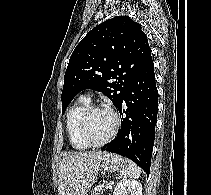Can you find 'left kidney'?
<instances>
[{
  "label": "left kidney",
  "instance_id": "1",
  "mask_svg": "<svg viewBox=\"0 0 211 195\" xmlns=\"http://www.w3.org/2000/svg\"><path fill=\"white\" fill-rule=\"evenodd\" d=\"M113 195H142V185L137 180H120L114 189Z\"/></svg>",
  "mask_w": 211,
  "mask_h": 195
}]
</instances>
